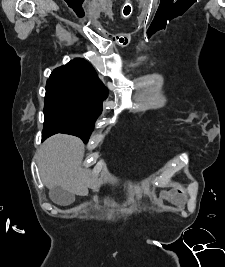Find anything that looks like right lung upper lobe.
<instances>
[{
	"label": "right lung upper lobe",
	"instance_id": "cb5924a9",
	"mask_svg": "<svg viewBox=\"0 0 225 267\" xmlns=\"http://www.w3.org/2000/svg\"><path fill=\"white\" fill-rule=\"evenodd\" d=\"M47 84H62L80 89L100 105L108 96V90L98 78L94 68L80 58L73 59L68 64L55 69Z\"/></svg>",
	"mask_w": 225,
	"mask_h": 267
}]
</instances>
